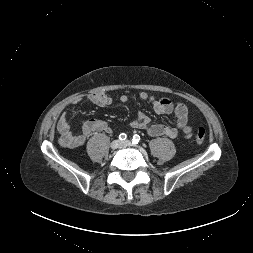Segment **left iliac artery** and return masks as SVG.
<instances>
[{
    "instance_id": "obj_1",
    "label": "left iliac artery",
    "mask_w": 253,
    "mask_h": 253,
    "mask_svg": "<svg viewBox=\"0 0 253 253\" xmlns=\"http://www.w3.org/2000/svg\"><path fill=\"white\" fill-rule=\"evenodd\" d=\"M139 141H140V136L137 135V134H135V135L133 136L132 143H133V144H138Z\"/></svg>"
}]
</instances>
